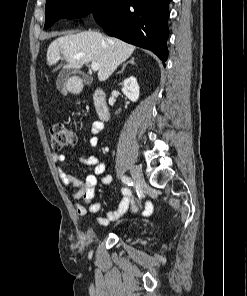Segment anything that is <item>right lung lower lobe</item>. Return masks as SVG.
<instances>
[{"label":"right lung lower lobe","mask_w":247,"mask_h":296,"mask_svg":"<svg viewBox=\"0 0 247 296\" xmlns=\"http://www.w3.org/2000/svg\"><path fill=\"white\" fill-rule=\"evenodd\" d=\"M170 1L111 0L104 12L93 15L109 36L151 50L164 63L168 57L166 41Z\"/></svg>","instance_id":"obj_1"}]
</instances>
